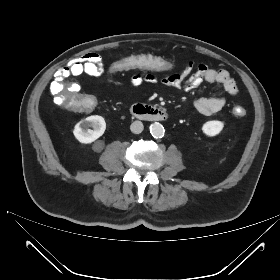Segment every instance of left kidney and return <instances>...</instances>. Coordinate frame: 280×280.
<instances>
[{"instance_id":"5707ae66","label":"left kidney","mask_w":280,"mask_h":280,"mask_svg":"<svg viewBox=\"0 0 280 280\" xmlns=\"http://www.w3.org/2000/svg\"><path fill=\"white\" fill-rule=\"evenodd\" d=\"M224 127V123L218 120L208 121L203 124L202 131L207 136H216Z\"/></svg>"}]
</instances>
